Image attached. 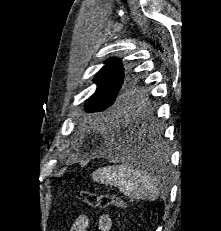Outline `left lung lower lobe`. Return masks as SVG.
Returning <instances> with one entry per match:
<instances>
[{
    "mask_svg": "<svg viewBox=\"0 0 221 231\" xmlns=\"http://www.w3.org/2000/svg\"><path fill=\"white\" fill-rule=\"evenodd\" d=\"M117 134L123 145V152L137 155L141 158L145 152L157 157L161 154L163 147L159 135L153 130L155 123L153 120H134L130 114H124L116 124ZM144 150V151H142Z\"/></svg>",
    "mask_w": 221,
    "mask_h": 231,
    "instance_id": "obj_1",
    "label": "left lung lower lobe"
}]
</instances>
